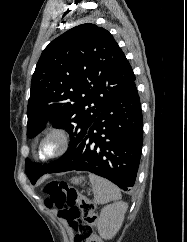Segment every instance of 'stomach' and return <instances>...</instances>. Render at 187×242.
<instances>
[{"mask_svg": "<svg viewBox=\"0 0 187 242\" xmlns=\"http://www.w3.org/2000/svg\"><path fill=\"white\" fill-rule=\"evenodd\" d=\"M83 181V178L82 177H80V178H73L72 179V183L73 184H79V183H81Z\"/></svg>", "mask_w": 187, "mask_h": 242, "instance_id": "obj_1", "label": "stomach"}]
</instances>
